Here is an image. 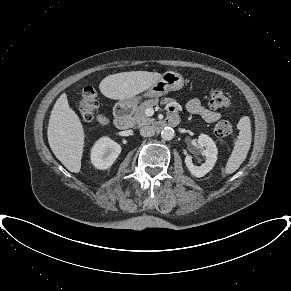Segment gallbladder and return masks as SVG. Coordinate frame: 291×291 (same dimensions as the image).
<instances>
[{
	"instance_id": "gallbladder-1",
	"label": "gallbladder",
	"mask_w": 291,
	"mask_h": 291,
	"mask_svg": "<svg viewBox=\"0 0 291 291\" xmlns=\"http://www.w3.org/2000/svg\"><path fill=\"white\" fill-rule=\"evenodd\" d=\"M96 117L99 122H103L105 120V116L102 114H98Z\"/></svg>"
}]
</instances>
